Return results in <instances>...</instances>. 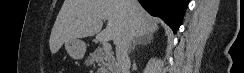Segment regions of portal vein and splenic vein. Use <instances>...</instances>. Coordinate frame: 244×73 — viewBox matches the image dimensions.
I'll use <instances>...</instances> for the list:
<instances>
[{
  "instance_id": "portal-vein-and-splenic-vein-1",
  "label": "portal vein and splenic vein",
  "mask_w": 244,
  "mask_h": 73,
  "mask_svg": "<svg viewBox=\"0 0 244 73\" xmlns=\"http://www.w3.org/2000/svg\"><path fill=\"white\" fill-rule=\"evenodd\" d=\"M103 50L106 53L111 51V45L107 41L103 42Z\"/></svg>"
}]
</instances>
